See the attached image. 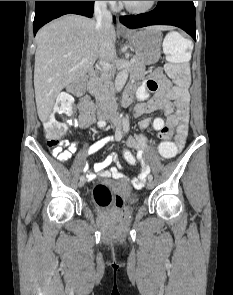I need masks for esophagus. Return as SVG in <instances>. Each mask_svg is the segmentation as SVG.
I'll return each mask as SVG.
<instances>
[{"label":"esophagus","mask_w":233,"mask_h":295,"mask_svg":"<svg viewBox=\"0 0 233 295\" xmlns=\"http://www.w3.org/2000/svg\"><path fill=\"white\" fill-rule=\"evenodd\" d=\"M117 30L119 32H128V29L126 28V26H124L119 20L117 23Z\"/></svg>","instance_id":"34e87169"}]
</instances>
